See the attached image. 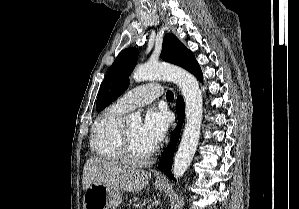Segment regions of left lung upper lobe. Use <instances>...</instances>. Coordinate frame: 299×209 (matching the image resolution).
<instances>
[{"label": "left lung upper lobe", "mask_w": 299, "mask_h": 209, "mask_svg": "<svg viewBox=\"0 0 299 209\" xmlns=\"http://www.w3.org/2000/svg\"><path fill=\"white\" fill-rule=\"evenodd\" d=\"M138 50L127 48L116 58L107 72L100 87L96 110L99 112L117 99L128 87V75L137 63ZM161 58L167 62L193 72L198 63L193 53L188 50L173 34H166L163 40Z\"/></svg>", "instance_id": "left-lung-upper-lobe-1"}]
</instances>
